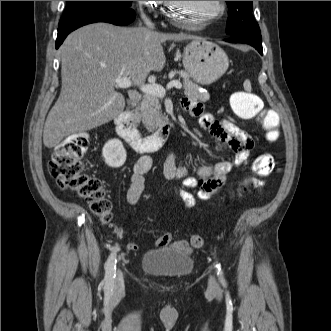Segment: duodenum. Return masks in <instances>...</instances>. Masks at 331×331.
Segmentation results:
<instances>
[{"mask_svg":"<svg viewBox=\"0 0 331 331\" xmlns=\"http://www.w3.org/2000/svg\"><path fill=\"white\" fill-rule=\"evenodd\" d=\"M117 134L135 152L144 153L159 149L167 140L172 127L171 121L162 123L159 128L149 136H142L132 120L130 109H125L115 118Z\"/></svg>","mask_w":331,"mask_h":331,"instance_id":"duodenum-1","label":"duodenum"}]
</instances>
